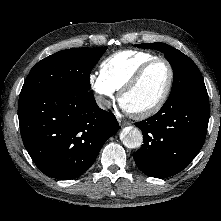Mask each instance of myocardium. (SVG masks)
<instances>
[{
	"mask_svg": "<svg viewBox=\"0 0 221 221\" xmlns=\"http://www.w3.org/2000/svg\"><path fill=\"white\" fill-rule=\"evenodd\" d=\"M162 62L166 64L169 70V78L167 82V86L161 95V97L158 99L156 103H154L152 106L138 110V111H127L129 114H131L133 117L136 118H146L149 116L154 115L157 113L166 103L168 100L170 93L173 88V83H174V69L172 64L165 58L163 57H155L151 60H148L147 62L143 63L134 73L133 75L126 81V83L120 88L119 93H118V102L120 105L122 98L124 97L125 94H127L129 91H131L141 80L143 75L146 73V71L155 63Z\"/></svg>",
	"mask_w": 221,
	"mask_h": 221,
	"instance_id": "f54148a6",
	"label": "myocardium"
}]
</instances>
